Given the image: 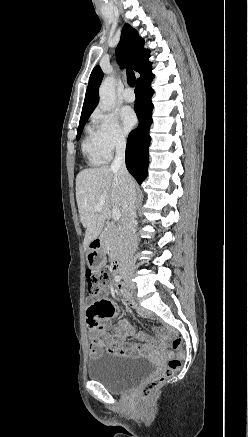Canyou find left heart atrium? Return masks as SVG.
I'll return each mask as SVG.
<instances>
[{
	"label": "left heart atrium",
	"mask_w": 248,
	"mask_h": 437,
	"mask_svg": "<svg viewBox=\"0 0 248 437\" xmlns=\"http://www.w3.org/2000/svg\"><path fill=\"white\" fill-rule=\"evenodd\" d=\"M121 121L126 132L130 131L137 122L135 113L130 108H124L121 111Z\"/></svg>",
	"instance_id": "left-heart-atrium-1"
}]
</instances>
